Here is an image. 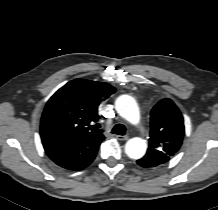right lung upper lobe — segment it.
I'll list each match as a JSON object with an SVG mask.
<instances>
[{
	"mask_svg": "<svg viewBox=\"0 0 218 210\" xmlns=\"http://www.w3.org/2000/svg\"><path fill=\"white\" fill-rule=\"evenodd\" d=\"M115 92L104 82L75 79L60 88L47 102L42 120L54 122L51 130L41 128V133L56 132L79 139L104 137L95 123L99 119L98 107Z\"/></svg>",
	"mask_w": 218,
	"mask_h": 210,
	"instance_id": "right-lung-upper-lobe-1",
	"label": "right lung upper lobe"
}]
</instances>
